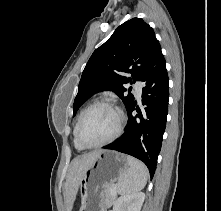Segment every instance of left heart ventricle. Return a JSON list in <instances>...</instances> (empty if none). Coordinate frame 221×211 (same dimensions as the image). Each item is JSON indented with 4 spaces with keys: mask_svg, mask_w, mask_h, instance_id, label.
I'll return each mask as SVG.
<instances>
[{
    "mask_svg": "<svg viewBox=\"0 0 221 211\" xmlns=\"http://www.w3.org/2000/svg\"><path fill=\"white\" fill-rule=\"evenodd\" d=\"M118 125L117 113L106 106L92 109L82 126V138L86 143L94 144L109 138Z\"/></svg>",
    "mask_w": 221,
    "mask_h": 211,
    "instance_id": "b2bd125f",
    "label": "left heart ventricle"
}]
</instances>
